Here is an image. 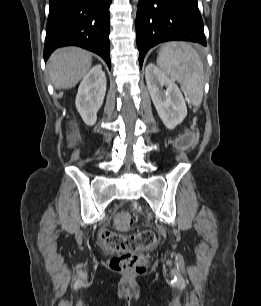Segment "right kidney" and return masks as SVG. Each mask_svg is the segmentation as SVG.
Returning <instances> with one entry per match:
<instances>
[{
    "label": "right kidney",
    "mask_w": 261,
    "mask_h": 306,
    "mask_svg": "<svg viewBox=\"0 0 261 306\" xmlns=\"http://www.w3.org/2000/svg\"><path fill=\"white\" fill-rule=\"evenodd\" d=\"M106 76L101 65L94 66L83 78L76 96V108L87 125H94L106 93Z\"/></svg>",
    "instance_id": "1"
}]
</instances>
